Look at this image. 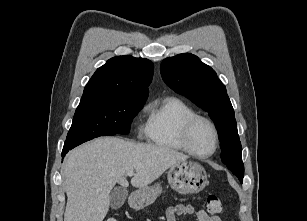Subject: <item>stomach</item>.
<instances>
[{"label":"stomach","mask_w":307,"mask_h":221,"mask_svg":"<svg viewBox=\"0 0 307 221\" xmlns=\"http://www.w3.org/2000/svg\"><path fill=\"white\" fill-rule=\"evenodd\" d=\"M167 178L172 189L181 194L198 193L208 184L203 166L192 161H183L172 166ZM161 192L159 184L139 188L131 204L135 208H143L152 204Z\"/></svg>","instance_id":"obj_1"}]
</instances>
